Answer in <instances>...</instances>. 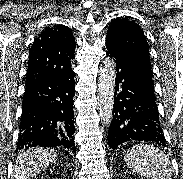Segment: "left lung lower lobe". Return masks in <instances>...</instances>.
<instances>
[{
	"label": "left lung lower lobe",
	"instance_id": "1",
	"mask_svg": "<svg viewBox=\"0 0 183 179\" xmlns=\"http://www.w3.org/2000/svg\"><path fill=\"white\" fill-rule=\"evenodd\" d=\"M107 55L115 59L116 79L109 147L126 141L165 144L153 82L146 65L113 40L106 38Z\"/></svg>",
	"mask_w": 183,
	"mask_h": 179
}]
</instances>
